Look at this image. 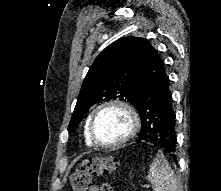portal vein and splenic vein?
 <instances>
[{
    "label": "portal vein and splenic vein",
    "mask_w": 221,
    "mask_h": 191,
    "mask_svg": "<svg viewBox=\"0 0 221 191\" xmlns=\"http://www.w3.org/2000/svg\"><path fill=\"white\" fill-rule=\"evenodd\" d=\"M143 188L148 189V188H149V186H148L147 184H144V185H143Z\"/></svg>",
    "instance_id": "18ae733b"
}]
</instances>
